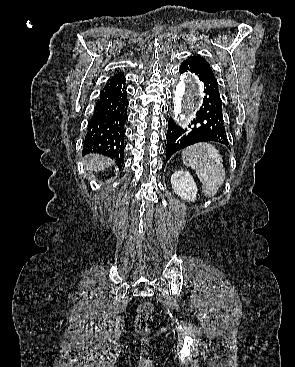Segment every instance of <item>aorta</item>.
I'll list each match as a JSON object with an SVG mask.
<instances>
[{
    "instance_id": "762f6f07",
    "label": "aorta",
    "mask_w": 295,
    "mask_h": 367,
    "mask_svg": "<svg viewBox=\"0 0 295 367\" xmlns=\"http://www.w3.org/2000/svg\"><path fill=\"white\" fill-rule=\"evenodd\" d=\"M202 96L199 80L190 74H183L174 91L175 116L194 111L200 105Z\"/></svg>"
}]
</instances>
